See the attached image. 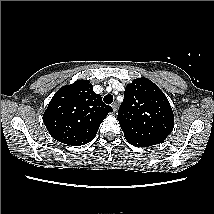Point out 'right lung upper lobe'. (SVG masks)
Here are the masks:
<instances>
[{"mask_svg":"<svg viewBox=\"0 0 214 214\" xmlns=\"http://www.w3.org/2000/svg\"><path fill=\"white\" fill-rule=\"evenodd\" d=\"M112 107L103 103L87 80L63 86L52 97L43 115L50 135L72 146L89 143Z\"/></svg>","mask_w":214,"mask_h":214,"instance_id":"obj_1","label":"right lung upper lobe"}]
</instances>
